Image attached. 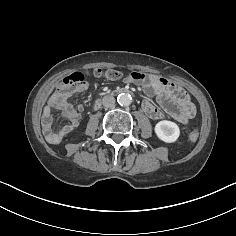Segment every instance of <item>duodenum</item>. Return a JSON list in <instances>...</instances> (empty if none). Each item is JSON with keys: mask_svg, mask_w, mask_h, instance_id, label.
<instances>
[{"mask_svg": "<svg viewBox=\"0 0 236 236\" xmlns=\"http://www.w3.org/2000/svg\"><path fill=\"white\" fill-rule=\"evenodd\" d=\"M123 92H128V90L125 88H121L117 91V93H123ZM100 105H101V97H98L94 103V109H98Z\"/></svg>", "mask_w": 236, "mask_h": 236, "instance_id": "obj_1", "label": "duodenum"}]
</instances>
